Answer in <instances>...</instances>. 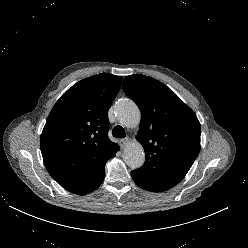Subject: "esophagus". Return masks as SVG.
Segmentation results:
<instances>
[{
    "mask_svg": "<svg viewBox=\"0 0 248 248\" xmlns=\"http://www.w3.org/2000/svg\"><path fill=\"white\" fill-rule=\"evenodd\" d=\"M130 142V138L126 137L120 140V146L124 148Z\"/></svg>",
    "mask_w": 248,
    "mask_h": 248,
    "instance_id": "1",
    "label": "esophagus"
}]
</instances>
